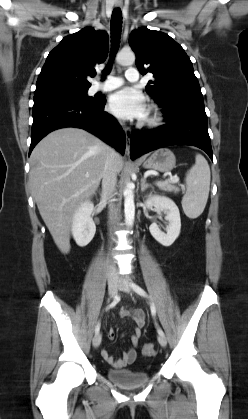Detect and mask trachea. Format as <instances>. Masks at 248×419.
Here are the masks:
<instances>
[{
  "label": "trachea",
  "instance_id": "1",
  "mask_svg": "<svg viewBox=\"0 0 248 419\" xmlns=\"http://www.w3.org/2000/svg\"><path fill=\"white\" fill-rule=\"evenodd\" d=\"M111 39H112V50H111V59L114 58L122 30V12L120 8H115L111 16ZM112 61L109 62L107 67L104 70V74H108L111 70Z\"/></svg>",
  "mask_w": 248,
  "mask_h": 419
}]
</instances>
